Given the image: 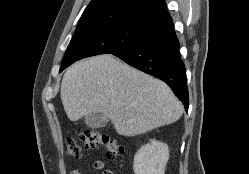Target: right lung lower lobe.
<instances>
[{
  "label": "right lung lower lobe",
  "mask_w": 249,
  "mask_h": 174,
  "mask_svg": "<svg viewBox=\"0 0 249 174\" xmlns=\"http://www.w3.org/2000/svg\"><path fill=\"white\" fill-rule=\"evenodd\" d=\"M113 55L167 83L188 111L185 66L171 17L149 24L137 43Z\"/></svg>",
  "instance_id": "right-lung-lower-lobe-1"
}]
</instances>
